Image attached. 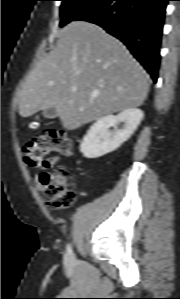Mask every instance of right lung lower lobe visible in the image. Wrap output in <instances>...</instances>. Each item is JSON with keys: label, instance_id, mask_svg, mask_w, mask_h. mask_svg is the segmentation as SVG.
<instances>
[{"label": "right lung lower lobe", "instance_id": "98d812e1", "mask_svg": "<svg viewBox=\"0 0 180 299\" xmlns=\"http://www.w3.org/2000/svg\"><path fill=\"white\" fill-rule=\"evenodd\" d=\"M169 0H102L76 20L103 27L121 40L156 83Z\"/></svg>", "mask_w": 180, "mask_h": 299}]
</instances>
